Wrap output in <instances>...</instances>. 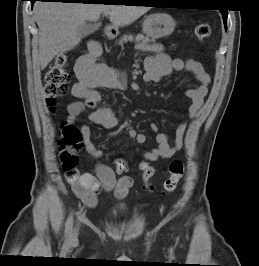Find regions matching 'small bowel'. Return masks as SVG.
Returning a JSON list of instances; mask_svg holds the SVG:
<instances>
[{"instance_id":"c3829d8e","label":"small bowel","mask_w":259,"mask_h":266,"mask_svg":"<svg viewBox=\"0 0 259 266\" xmlns=\"http://www.w3.org/2000/svg\"><path fill=\"white\" fill-rule=\"evenodd\" d=\"M151 49L155 53L144 59V81L156 83L162 78L170 76L174 71L186 70L192 73L199 84L197 87L186 91V95L191 99L188 113L190 118L197 117L211 83L210 76L203 65L194 59L172 58L160 45H153ZM75 73L78 81L73 85L72 94L78 100L70 103L67 107L68 123L73 124L85 110L92 109L89 118L93 123L106 129L115 127L118 120L111 108H95L102 98L99 88L122 89L125 86L123 73L98 64L96 55L91 51L78 59L75 65ZM150 128L156 133L155 141L157 146L150 151L141 153L144 159L149 161L168 159L182 149L186 130L184 122L177 127L173 144L169 143V138L165 133L158 131L156 124L152 123ZM80 132L86 151L96 158L101 157L102 152L90 141L91 132L89 127L83 125ZM127 135L138 144L146 141V136L134 129H129ZM65 177L73 193L90 208L97 204V198L100 193L113 192L117 198H124L133 186V180L130 177L124 176L117 179L114 170L103 163L96 165L95 174L80 173L75 170L66 173Z\"/></svg>"}]
</instances>
